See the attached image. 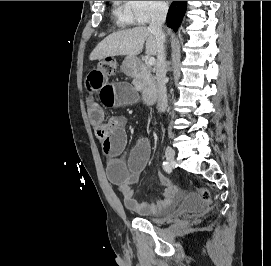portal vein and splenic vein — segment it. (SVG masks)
Here are the masks:
<instances>
[{
    "label": "portal vein and splenic vein",
    "mask_w": 271,
    "mask_h": 266,
    "mask_svg": "<svg viewBox=\"0 0 271 266\" xmlns=\"http://www.w3.org/2000/svg\"><path fill=\"white\" fill-rule=\"evenodd\" d=\"M155 64V58L154 57H150L148 60V65L153 66Z\"/></svg>",
    "instance_id": "18ae733b"
}]
</instances>
